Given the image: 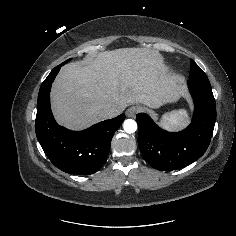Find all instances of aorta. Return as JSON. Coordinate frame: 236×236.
<instances>
[{
  "instance_id": "762f6f07",
  "label": "aorta",
  "mask_w": 236,
  "mask_h": 236,
  "mask_svg": "<svg viewBox=\"0 0 236 236\" xmlns=\"http://www.w3.org/2000/svg\"><path fill=\"white\" fill-rule=\"evenodd\" d=\"M123 128L127 133H134L137 130V123L133 119H127L123 123Z\"/></svg>"
}]
</instances>
